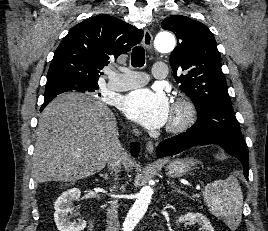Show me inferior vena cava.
Here are the masks:
<instances>
[{
	"mask_svg": "<svg viewBox=\"0 0 268 231\" xmlns=\"http://www.w3.org/2000/svg\"><path fill=\"white\" fill-rule=\"evenodd\" d=\"M123 161V156H116L108 163L109 168L117 171L120 167L121 162ZM118 201L112 200L110 201V206L107 209V227L106 231H119V221H118Z\"/></svg>",
	"mask_w": 268,
	"mask_h": 231,
	"instance_id": "1",
	"label": "inferior vena cava"
}]
</instances>
